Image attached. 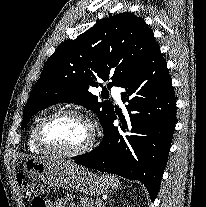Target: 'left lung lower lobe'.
Listing matches in <instances>:
<instances>
[{
    "instance_id": "0a47b994",
    "label": "left lung lower lobe",
    "mask_w": 206,
    "mask_h": 207,
    "mask_svg": "<svg viewBox=\"0 0 206 207\" xmlns=\"http://www.w3.org/2000/svg\"><path fill=\"white\" fill-rule=\"evenodd\" d=\"M128 113L113 112L104 139L75 163L141 181L155 200L167 164L176 121V98L159 45L120 85ZM120 118V127L113 121Z\"/></svg>"
}]
</instances>
